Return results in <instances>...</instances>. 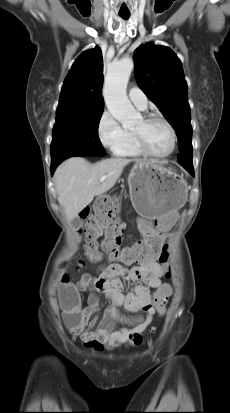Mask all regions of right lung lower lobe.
Masks as SVG:
<instances>
[{
    "label": "right lung lower lobe",
    "mask_w": 230,
    "mask_h": 413,
    "mask_svg": "<svg viewBox=\"0 0 230 413\" xmlns=\"http://www.w3.org/2000/svg\"><path fill=\"white\" fill-rule=\"evenodd\" d=\"M60 163V162H59ZM58 162L56 163H51V172L52 174L54 173L55 168L57 167V165L59 164Z\"/></svg>",
    "instance_id": "98d812e1"
}]
</instances>
